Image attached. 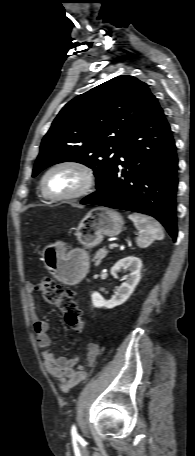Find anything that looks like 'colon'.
Here are the masks:
<instances>
[{
    "label": "colon",
    "mask_w": 195,
    "mask_h": 456,
    "mask_svg": "<svg viewBox=\"0 0 195 456\" xmlns=\"http://www.w3.org/2000/svg\"><path fill=\"white\" fill-rule=\"evenodd\" d=\"M36 288L45 302L56 306L61 311L70 328L76 332L82 331L84 327L82 310L70 291L51 278H43Z\"/></svg>",
    "instance_id": "5ec220e1"
}]
</instances>
